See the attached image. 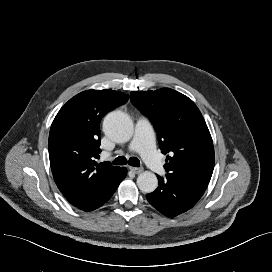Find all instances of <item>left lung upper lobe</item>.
<instances>
[{"instance_id":"left-lung-upper-lobe-1","label":"left lung upper lobe","mask_w":272,"mask_h":272,"mask_svg":"<svg viewBox=\"0 0 272 272\" xmlns=\"http://www.w3.org/2000/svg\"><path fill=\"white\" fill-rule=\"evenodd\" d=\"M133 105L155 126L167 173L210 182L214 147L205 120L187 96L170 88L130 93Z\"/></svg>"}]
</instances>
